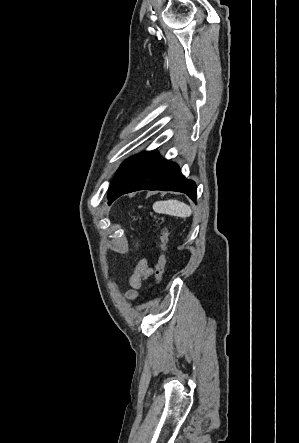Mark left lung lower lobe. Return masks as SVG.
<instances>
[{
    "instance_id": "0a47b994",
    "label": "left lung lower lobe",
    "mask_w": 299,
    "mask_h": 443,
    "mask_svg": "<svg viewBox=\"0 0 299 443\" xmlns=\"http://www.w3.org/2000/svg\"><path fill=\"white\" fill-rule=\"evenodd\" d=\"M143 189L178 191L193 201L197 197L195 182L186 179L177 164L163 159L158 152H150L109 189V204L122 194Z\"/></svg>"
}]
</instances>
